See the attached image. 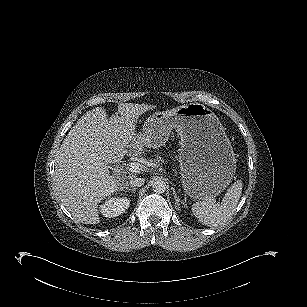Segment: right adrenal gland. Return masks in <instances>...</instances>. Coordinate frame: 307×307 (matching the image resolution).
I'll use <instances>...</instances> for the list:
<instances>
[{
  "instance_id": "1",
  "label": "right adrenal gland",
  "mask_w": 307,
  "mask_h": 307,
  "mask_svg": "<svg viewBox=\"0 0 307 307\" xmlns=\"http://www.w3.org/2000/svg\"><path fill=\"white\" fill-rule=\"evenodd\" d=\"M127 191L135 192V191H136V188H131V189H128Z\"/></svg>"
}]
</instances>
